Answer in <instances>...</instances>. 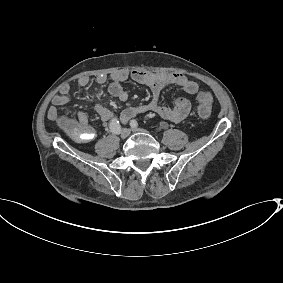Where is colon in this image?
Returning <instances> with one entry per match:
<instances>
[{"mask_svg": "<svg viewBox=\"0 0 283 283\" xmlns=\"http://www.w3.org/2000/svg\"><path fill=\"white\" fill-rule=\"evenodd\" d=\"M197 113L200 117L206 118L211 114L212 96L207 91H202L198 95ZM65 131L72 137L80 141H90L94 137L92 129L81 124L78 120L62 119L61 122Z\"/></svg>", "mask_w": 283, "mask_h": 283, "instance_id": "5ec220e1", "label": "colon"}]
</instances>
